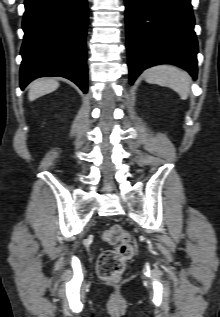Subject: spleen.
<instances>
[{"label":"spleen","mask_w":220,"mask_h":317,"mask_svg":"<svg viewBox=\"0 0 220 317\" xmlns=\"http://www.w3.org/2000/svg\"><path fill=\"white\" fill-rule=\"evenodd\" d=\"M148 83L167 86L175 90L182 98L190 92L189 75L174 65H157L144 71Z\"/></svg>","instance_id":"spleen-1"}]
</instances>
